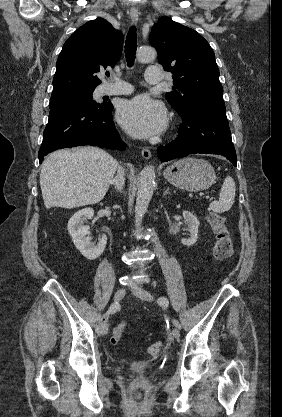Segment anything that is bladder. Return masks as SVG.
Segmentation results:
<instances>
[{
	"mask_svg": "<svg viewBox=\"0 0 282 417\" xmlns=\"http://www.w3.org/2000/svg\"><path fill=\"white\" fill-rule=\"evenodd\" d=\"M127 370L138 375H151L155 371L154 367L149 362L143 360L131 361L127 366Z\"/></svg>",
	"mask_w": 282,
	"mask_h": 417,
	"instance_id": "31cf9c89",
	"label": "bladder"
}]
</instances>
